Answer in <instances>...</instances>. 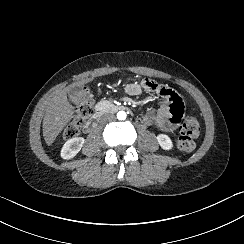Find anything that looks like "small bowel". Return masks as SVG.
I'll use <instances>...</instances> for the list:
<instances>
[{"label":"small bowel","instance_id":"1","mask_svg":"<svg viewBox=\"0 0 244 244\" xmlns=\"http://www.w3.org/2000/svg\"><path fill=\"white\" fill-rule=\"evenodd\" d=\"M145 91L156 93L161 99V104L142 114L140 122L160 130H169L175 126L183 112V102L179 94L170 87L147 78L125 86V92L130 96H139Z\"/></svg>","mask_w":244,"mask_h":244}]
</instances>
